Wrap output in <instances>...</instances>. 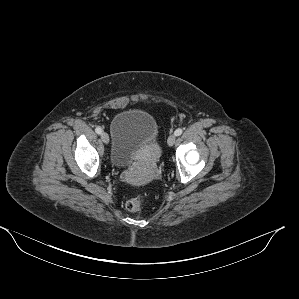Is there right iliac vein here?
I'll return each instance as SVG.
<instances>
[{"label":"right iliac vein","instance_id":"63e3f726","mask_svg":"<svg viewBox=\"0 0 299 299\" xmlns=\"http://www.w3.org/2000/svg\"><path fill=\"white\" fill-rule=\"evenodd\" d=\"M101 139L105 144L109 143V136L107 133H105V132L101 133Z\"/></svg>","mask_w":299,"mask_h":299}]
</instances>
